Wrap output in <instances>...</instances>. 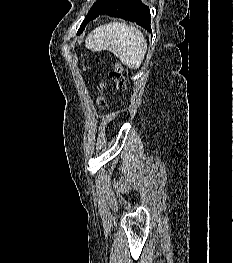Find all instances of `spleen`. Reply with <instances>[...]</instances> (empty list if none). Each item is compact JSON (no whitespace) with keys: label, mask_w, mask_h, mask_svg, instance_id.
Listing matches in <instances>:
<instances>
[{"label":"spleen","mask_w":233,"mask_h":263,"mask_svg":"<svg viewBox=\"0 0 233 263\" xmlns=\"http://www.w3.org/2000/svg\"><path fill=\"white\" fill-rule=\"evenodd\" d=\"M86 47L112 52L129 69H138L145 57L147 42L139 29L112 22L94 29L86 38Z\"/></svg>","instance_id":"1"}]
</instances>
